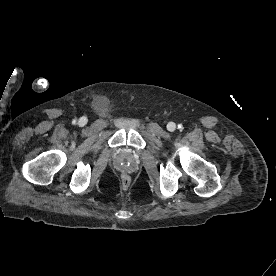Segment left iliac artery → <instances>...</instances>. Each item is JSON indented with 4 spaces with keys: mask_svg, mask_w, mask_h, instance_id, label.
Returning a JSON list of instances; mask_svg holds the SVG:
<instances>
[{
    "mask_svg": "<svg viewBox=\"0 0 276 276\" xmlns=\"http://www.w3.org/2000/svg\"><path fill=\"white\" fill-rule=\"evenodd\" d=\"M178 128H179L180 130H182V129H183V126H182V125H178Z\"/></svg>",
    "mask_w": 276,
    "mask_h": 276,
    "instance_id": "left-iliac-artery-1",
    "label": "left iliac artery"
}]
</instances>
